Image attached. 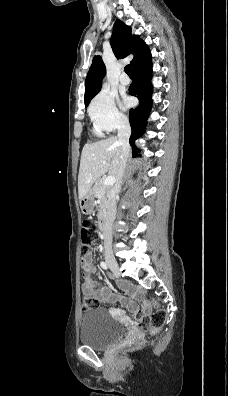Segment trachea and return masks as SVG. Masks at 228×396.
<instances>
[{
  "mask_svg": "<svg viewBox=\"0 0 228 396\" xmlns=\"http://www.w3.org/2000/svg\"><path fill=\"white\" fill-rule=\"evenodd\" d=\"M124 70H125V72H126L129 76H133V72H132V70H131V66H130V65H127V66L124 68Z\"/></svg>",
  "mask_w": 228,
  "mask_h": 396,
  "instance_id": "trachea-1",
  "label": "trachea"
}]
</instances>
